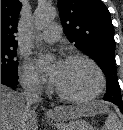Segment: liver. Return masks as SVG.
Returning a JSON list of instances; mask_svg holds the SVG:
<instances>
[{
	"instance_id": "liver-1",
	"label": "liver",
	"mask_w": 123,
	"mask_h": 130,
	"mask_svg": "<svg viewBox=\"0 0 123 130\" xmlns=\"http://www.w3.org/2000/svg\"><path fill=\"white\" fill-rule=\"evenodd\" d=\"M99 103L75 107H56L49 114L58 121H67L96 114ZM37 114L27 108L22 93L1 84V130H37Z\"/></svg>"
}]
</instances>
